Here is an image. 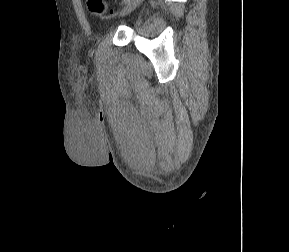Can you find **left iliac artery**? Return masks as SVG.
<instances>
[{
  "label": "left iliac artery",
  "instance_id": "left-iliac-artery-1",
  "mask_svg": "<svg viewBox=\"0 0 289 252\" xmlns=\"http://www.w3.org/2000/svg\"><path fill=\"white\" fill-rule=\"evenodd\" d=\"M128 2H129V0H123L122 1V3H125V4L128 3Z\"/></svg>",
  "mask_w": 289,
  "mask_h": 252
}]
</instances>
